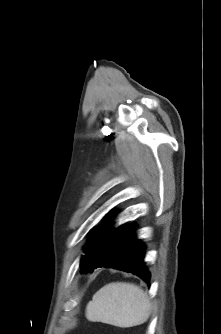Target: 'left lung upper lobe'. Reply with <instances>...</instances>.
<instances>
[{"mask_svg":"<svg viewBox=\"0 0 221 334\" xmlns=\"http://www.w3.org/2000/svg\"><path fill=\"white\" fill-rule=\"evenodd\" d=\"M114 214H115V211H113V212L110 211L109 220L106 221L102 226H100L99 228H97L96 230L93 231L92 238H91V240H90V242L87 245V248L85 250L86 255L83 256V258L81 260V263H80L81 268H85V267L90 266L92 264V262L94 261L93 252H94L99 240L101 239L103 234L108 229L109 224L112 221V218L114 217Z\"/></svg>","mask_w":221,"mask_h":334,"instance_id":"obj_1","label":"left lung upper lobe"}]
</instances>
